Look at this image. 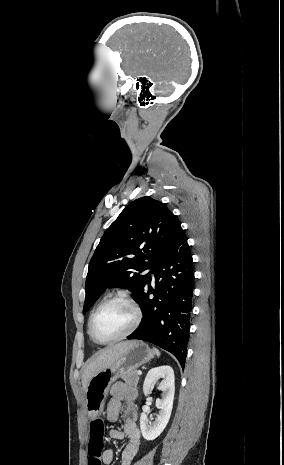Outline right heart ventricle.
<instances>
[{
	"mask_svg": "<svg viewBox=\"0 0 284 465\" xmlns=\"http://www.w3.org/2000/svg\"><path fill=\"white\" fill-rule=\"evenodd\" d=\"M92 313H93V312H92ZM92 313H91V314H92ZM90 317H91V315H90ZM90 317H89V320H90ZM88 327H89V321H88V326H87V329H88ZM88 332H89V331H88Z\"/></svg>",
	"mask_w": 284,
	"mask_h": 465,
	"instance_id": "1",
	"label": "right heart ventricle"
}]
</instances>
